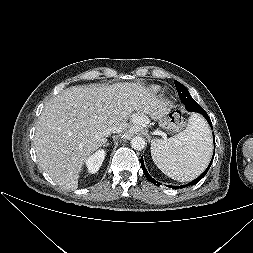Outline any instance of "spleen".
I'll use <instances>...</instances> for the list:
<instances>
[{
    "label": "spleen",
    "instance_id": "spleen-1",
    "mask_svg": "<svg viewBox=\"0 0 253 253\" xmlns=\"http://www.w3.org/2000/svg\"><path fill=\"white\" fill-rule=\"evenodd\" d=\"M212 154L211 131L198 114L190 117L186 129L168 139H154L151 156L156 166L178 181H190L207 167Z\"/></svg>",
    "mask_w": 253,
    "mask_h": 253
}]
</instances>
